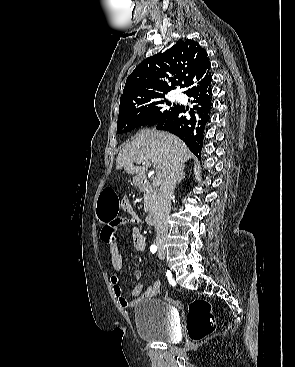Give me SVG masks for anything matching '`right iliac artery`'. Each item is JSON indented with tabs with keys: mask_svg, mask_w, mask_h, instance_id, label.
I'll return each mask as SVG.
<instances>
[{
	"mask_svg": "<svg viewBox=\"0 0 295 367\" xmlns=\"http://www.w3.org/2000/svg\"><path fill=\"white\" fill-rule=\"evenodd\" d=\"M150 251H151V253H155V252L157 251V246H156V245H152V246L150 247ZM166 275H167V276H170V275H171V273H170V271H169V270L167 271Z\"/></svg>",
	"mask_w": 295,
	"mask_h": 367,
	"instance_id": "right-iliac-artery-1",
	"label": "right iliac artery"
}]
</instances>
